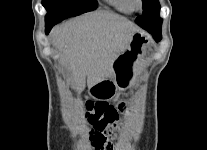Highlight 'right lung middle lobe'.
Returning a JSON list of instances; mask_svg holds the SVG:
<instances>
[{"label":"right lung middle lobe","instance_id":"dd1d6c3e","mask_svg":"<svg viewBox=\"0 0 207 150\" xmlns=\"http://www.w3.org/2000/svg\"><path fill=\"white\" fill-rule=\"evenodd\" d=\"M47 10L45 22L58 23L68 17L77 16L97 8L96 0H42Z\"/></svg>","mask_w":207,"mask_h":150}]
</instances>
